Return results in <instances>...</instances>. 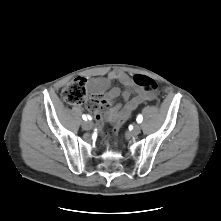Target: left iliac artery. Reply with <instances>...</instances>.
<instances>
[{
	"instance_id": "1",
	"label": "left iliac artery",
	"mask_w": 221,
	"mask_h": 221,
	"mask_svg": "<svg viewBox=\"0 0 221 221\" xmlns=\"http://www.w3.org/2000/svg\"><path fill=\"white\" fill-rule=\"evenodd\" d=\"M136 120H137L138 123H141L143 121L142 115H138Z\"/></svg>"
}]
</instances>
